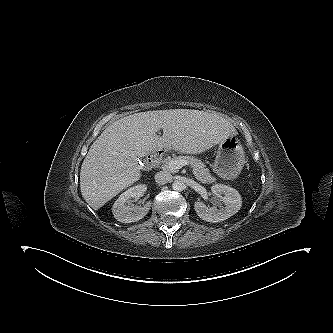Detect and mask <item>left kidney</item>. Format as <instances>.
I'll return each instance as SVG.
<instances>
[{"label": "left kidney", "mask_w": 333, "mask_h": 333, "mask_svg": "<svg viewBox=\"0 0 333 333\" xmlns=\"http://www.w3.org/2000/svg\"><path fill=\"white\" fill-rule=\"evenodd\" d=\"M211 191L215 196L220 197L221 201L224 203V207L217 209L216 206L208 207L204 202H195L194 209L202 220L213 223L221 222L240 210L242 199L236 189L226 185L216 184L211 187Z\"/></svg>", "instance_id": "obj_1"}]
</instances>
